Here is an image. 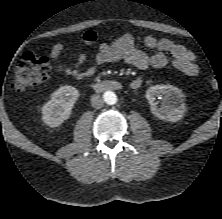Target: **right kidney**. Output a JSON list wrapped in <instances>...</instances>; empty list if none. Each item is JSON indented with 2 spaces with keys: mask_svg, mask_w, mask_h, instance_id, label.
Instances as JSON below:
<instances>
[{
  "mask_svg": "<svg viewBox=\"0 0 222 219\" xmlns=\"http://www.w3.org/2000/svg\"><path fill=\"white\" fill-rule=\"evenodd\" d=\"M79 95V91L72 86L65 85L57 89L42 107L43 123L50 127L60 126L70 117Z\"/></svg>",
  "mask_w": 222,
  "mask_h": 219,
  "instance_id": "1",
  "label": "right kidney"
}]
</instances>
